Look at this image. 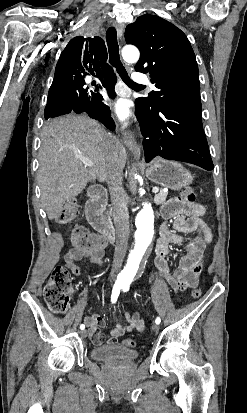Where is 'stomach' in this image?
I'll return each instance as SVG.
<instances>
[{
  "label": "stomach",
  "instance_id": "stomach-1",
  "mask_svg": "<svg viewBox=\"0 0 247 413\" xmlns=\"http://www.w3.org/2000/svg\"><path fill=\"white\" fill-rule=\"evenodd\" d=\"M146 176L149 180L173 190H180L183 186L192 184L194 178L180 162L164 160V158H156L151 162L146 168Z\"/></svg>",
  "mask_w": 247,
  "mask_h": 413
}]
</instances>
